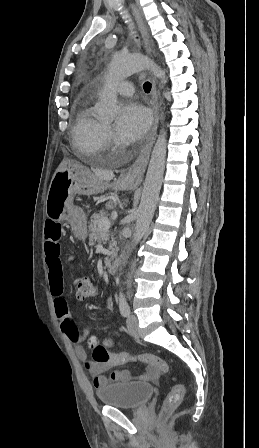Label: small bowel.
<instances>
[{
	"instance_id": "1",
	"label": "small bowel",
	"mask_w": 259,
	"mask_h": 448,
	"mask_svg": "<svg viewBox=\"0 0 259 448\" xmlns=\"http://www.w3.org/2000/svg\"><path fill=\"white\" fill-rule=\"evenodd\" d=\"M62 233L60 224L48 220L44 227V254L45 263L48 268L49 284L51 294L54 298V310L60 327L66 336L76 344L75 350L77 356L84 362L85 368L93 377V385L100 390L107 386L109 382L127 383L132 381H149L158 376V369L155 366H149L144 374H132L128 370L114 371L110 377L104 373L112 366L111 363H96L88 360L87 352L82 346L90 336L88 328L79 331L74 325L68 308V303L64 297L62 265L60 261L59 240ZM108 307L112 309V302L108 300ZM112 338H106L104 345L111 346Z\"/></svg>"
}]
</instances>
